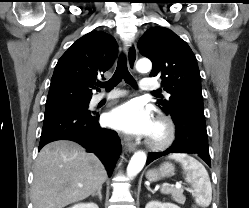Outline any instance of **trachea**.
<instances>
[{
	"instance_id": "trachea-1",
	"label": "trachea",
	"mask_w": 249,
	"mask_h": 208,
	"mask_svg": "<svg viewBox=\"0 0 249 208\" xmlns=\"http://www.w3.org/2000/svg\"><path fill=\"white\" fill-rule=\"evenodd\" d=\"M122 79H124L126 83L132 85L133 87H137L135 79L128 71L126 57L124 54L120 55L116 70L112 78L107 82H100L97 85L99 87L105 88L106 91H110L115 86H117L122 81ZM153 94H160V92L155 91L153 92Z\"/></svg>"
}]
</instances>
